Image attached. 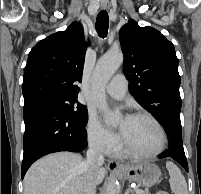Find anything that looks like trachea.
Masks as SVG:
<instances>
[{
    "label": "trachea",
    "mask_w": 201,
    "mask_h": 194,
    "mask_svg": "<svg viewBox=\"0 0 201 194\" xmlns=\"http://www.w3.org/2000/svg\"><path fill=\"white\" fill-rule=\"evenodd\" d=\"M109 16L106 10L99 12L96 19V31L101 38H105L108 34Z\"/></svg>",
    "instance_id": "1"
}]
</instances>
